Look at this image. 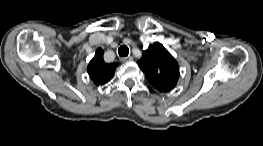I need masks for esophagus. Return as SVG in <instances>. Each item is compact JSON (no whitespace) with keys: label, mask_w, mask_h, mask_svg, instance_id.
<instances>
[{"label":"esophagus","mask_w":263,"mask_h":146,"mask_svg":"<svg viewBox=\"0 0 263 146\" xmlns=\"http://www.w3.org/2000/svg\"><path fill=\"white\" fill-rule=\"evenodd\" d=\"M132 60H133V57H131V56L121 57V58H120V61H121V62L132 61Z\"/></svg>","instance_id":"1"}]
</instances>
